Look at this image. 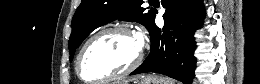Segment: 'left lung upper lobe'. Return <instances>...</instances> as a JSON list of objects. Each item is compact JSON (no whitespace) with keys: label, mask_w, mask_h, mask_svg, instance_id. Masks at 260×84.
Here are the masks:
<instances>
[{"label":"left lung upper lobe","mask_w":260,"mask_h":84,"mask_svg":"<svg viewBox=\"0 0 260 84\" xmlns=\"http://www.w3.org/2000/svg\"><path fill=\"white\" fill-rule=\"evenodd\" d=\"M142 0H82L72 19L70 61L76 48L96 28L116 19L137 21L148 30L156 10L141 7Z\"/></svg>","instance_id":"1"}]
</instances>
